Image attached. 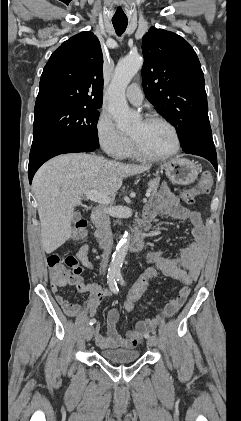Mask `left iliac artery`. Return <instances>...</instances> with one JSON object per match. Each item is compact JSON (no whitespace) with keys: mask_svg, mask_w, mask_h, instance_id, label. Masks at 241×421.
<instances>
[{"mask_svg":"<svg viewBox=\"0 0 241 421\" xmlns=\"http://www.w3.org/2000/svg\"><path fill=\"white\" fill-rule=\"evenodd\" d=\"M115 276H116L117 281H119L121 284H125V281H124V279H123V277H122V274H121L120 269H117V270L115 271ZM145 337H146V338H149V337H150V335H149V334H147V335H145Z\"/></svg>","mask_w":241,"mask_h":421,"instance_id":"obj_1","label":"left iliac artery"}]
</instances>
